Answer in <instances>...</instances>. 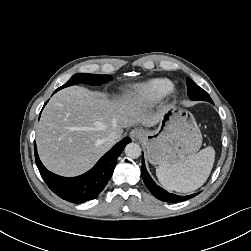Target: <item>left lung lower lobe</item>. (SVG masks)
Listing matches in <instances>:
<instances>
[{
	"label": "left lung lower lobe",
	"instance_id": "1",
	"mask_svg": "<svg viewBox=\"0 0 251 251\" xmlns=\"http://www.w3.org/2000/svg\"><path fill=\"white\" fill-rule=\"evenodd\" d=\"M141 174L144 180L145 185L147 188L150 190V192L159 200L165 201V202H181L185 201L187 199H190L194 196H196L198 193L188 195V196H178L174 195L171 193H168L161 187L157 186L156 183L152 180L150 175L148 174L146 167H145V162L144 158L142 159V169H141Z\"/></svg>",
	"mask_w": 251,
	"mask_h": 251
}]
</instances>
